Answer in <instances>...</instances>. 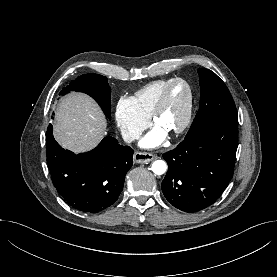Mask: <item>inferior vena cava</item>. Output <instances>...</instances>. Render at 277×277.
<instances>
[{
	"mask_svg": "<svg viewBox=\"0 0 277 277\" xmlns=\"http://www.w3.org/2000/svg\"><path fill=\"white\" fill-rule=\"evenodd\" d=\"M121 135H122L123 140L127 143H130L139 137L137 133H135L133 131H129L127 129H123L121 131Z\"/></svg>",
	"mask_w": 277,
	"mask_h": 277,
	"instance_id": "602c4592",
	"label": "inferior vena cava"
}]
</instances>
